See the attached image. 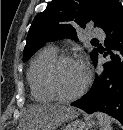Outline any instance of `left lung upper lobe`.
<instances>
[{
    "mask_svg": "<svg viewBox=\"0 0 123 130\" xmlns=\"http://www.w3.org/2000/svg\"><path fill=\"white\" fill-rule=\"evenodd\" d=\"M118 0H53L38 13L29 29L23 62L44 43L65 37L76 38V26L85 27L89 21L106 31L113 25L122 8ZM97 50L90 54L95 57Z\"/></svg>",
    "mask_w": 123,
    "mask_h": 130,
    "instance_id": "left-lung-upper-lobe-1",
    "label": "left lung upper lobe"
}]
</instances>
